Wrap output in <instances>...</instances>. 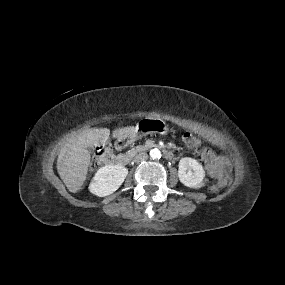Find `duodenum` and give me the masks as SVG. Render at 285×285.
<instances>
[{
  "mask_svg": "<svg viewBox=\"0 0 285 285\" xmlns=\"http://www.w3.org/2000/svg\"><path fill=\"white\" fill-rule=\"evenodd\" d=\"M126 142H127V140H120L117 142V145L119 146V145L125 144ZM163 154H164L165 158L169 159V160L173 159V157H174L173 152L168 150V149H164ZM134 155H135V151L121 153V154L116 156L115 161L118 164L126 165V164L130 163V161L132 160Z\"/></svg>",
  "mask_w": 285,
  "mask_h": 285,
  "instance_id": "duodenum-1",
  "label": "duodenum"
}]
</instances>
